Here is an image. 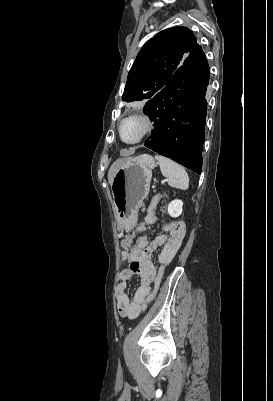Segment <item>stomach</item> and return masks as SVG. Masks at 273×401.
<instances>
[{
    "label": "stomach",
    "instance_id": "0dacf381",
    "mask_svg": "<svg viewBox=\"0 0 273 401\" xmlns=\"http://www.w3.org/2000/svg\"><path fill=\"white\" fill-rule=\"evenodd\" d=\"M155 166L156 160L151 154H139L138 158L127 160L117 170L111 190L118 231H132L136 227L138 211L149 194Z\"/></svg>",
    "mask_w": 273,
    "mask_h": 401
}]
</instances>
